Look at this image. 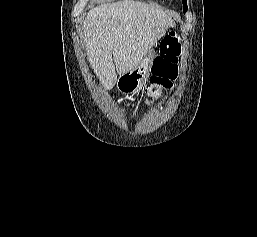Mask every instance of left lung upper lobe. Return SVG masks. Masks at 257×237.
I'll use <instances>...</instances> for the list:
<instances>
[{
	"label": "left lung upper lobe",
	"mask_w": 257,
	"mask_h": 237,
	"mask_svg": "<svg viewBox=\"0 0 257 237\" xmlns=\"http://www.w3.org/2000/svg\"><path fill=\"white\" fill-rule=\"evenodd\" d=\"M183 3V11L186 12L188 7H187V0H182Z\"/></svg>",
	"instance_id": "1"
}]
</instances>
